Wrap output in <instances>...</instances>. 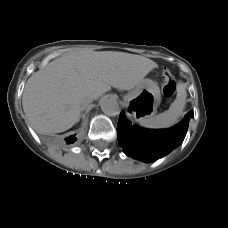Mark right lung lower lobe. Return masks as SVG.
I'll return each instance as SVG.
<instances>
[{
	"label": "right lung lower lobe",
	"instance_id": "1",
	"mask_svg": "<svg viewBox=\"0 0 228 228\" xmlns=\"http://www.w3.org/2000/svg\"><path fill=\"white\" fill-rule=\"evenodd\" d=\"M76 140H77V138L74 135H71V136L65 138V142L64 143L73 144Z\"/></svg>",
	"mask_w": 228,
	"mask_h": 228
}]
</instances>
